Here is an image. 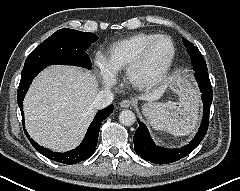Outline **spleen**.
I'll list each match as a JSON object with an SVG mask.
<instances>
[{"label":"spleen","instance_id":"3e777b00","mask_svg":"<svg viewBox=\"0 0 240 191\" xmlns=\"http://www.w3.org/2000/svg\"><path fill=\"white\" fill-rule=\"evenodd\" d=\"M148 120L154 129L167 131L175 136L187 135L195 128L194 123H186L174 118L166 108L157 111Z\"/></svg>","mask_w":240,"mask_h":191}]
</instances>
